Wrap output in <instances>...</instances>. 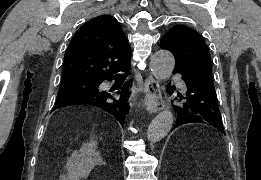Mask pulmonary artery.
<instances>
[{
  "mask_svg": "<svg viewBox=\"0 0 261 180\" xmlns=\"http://www.w3.org/2000/svg\"><path fill=\"white\" fill-rule=\"evenodd\" d=\"M168 76L169 77H176L177 73L176 72H169ZM167 83H180V78H167Z\"/></svg>",
  "mask_w": 261,
  "mask_h": 180,
  "instance_id": "pulmonary-artery-1",
  "label": "pulmonary artery"
}]
</instances>
